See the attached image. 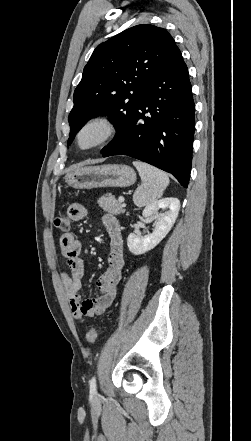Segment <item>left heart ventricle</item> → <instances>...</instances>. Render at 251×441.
<instances>
[{
  "instance_id": "1",
  "label": "left heart ventricle",
  "mask_w": 251,
  "mask_h": 441,
  "mask_svg": "<svg viewBox=\"0 0 251 441\" xmlns=\"http://www.w3.org/2000/svg\"><path fill=\"white\" fill-rule=\"evenodd\" d=\"M100 135V129L97 127H92L86 130L82 137H81V143L84 146L91 145Z\"/></svg>"
}]
</instances>
